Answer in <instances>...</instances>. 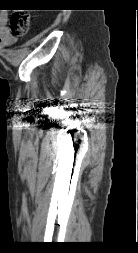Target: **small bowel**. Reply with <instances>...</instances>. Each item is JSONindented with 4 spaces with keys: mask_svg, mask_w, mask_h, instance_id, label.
<instances>
[{
    "mask_svg": "<svg viewBox=\"0 0 138 253\" xmlns=\"http://www.w3.org/2000/svg\"><path fill=\"white\" fill-rule=\"evenodd\" d=\"M14 41L15 38L7 26L6 16L0 15V48H5L14 43Z\"/></svg>",
    "mask_w": 138,
    "mask_h": 253,
    "instance_id": "c3829d8e",
    "label": "small bowel"
}]
</instances>
